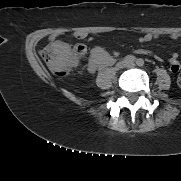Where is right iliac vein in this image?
I'll use <instances>...</instances> for the list:
<instances>
[{
    "label": "right iliac vein",
    "instance_id": "1",
    "mask_svg": "<svg viewBox=\"0 0 181 181\" xmlns=\"http://www.w3.org/2000/svg\"><path fill=\"white\" fill-rule=\"evenodd\" d=\"M126 66H127V64L125 61H120L116 64V69L121 70V69L125 68Z\"/></svg>",
    "mask_w": 181,
    "mask_h": 181
}]
</instances>
